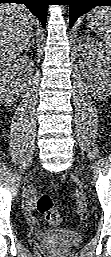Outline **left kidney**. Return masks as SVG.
Listing matches in <instances>:
<instances>
[{"label": "left kidney", "mask_w": 111, "mask_h": 257, "mask_svg": "<svg viewBox=\"0 0 111 257\" xmlns=\"http://www.w3.org/2000/svg\"><path fill=\"white\" fill-rule=\"evenodd\" d=\"M80 68L98 97L111 95V50L99 40L82 37L78 42Z\"/></svg>", "instance_id": "5707ae66"}]
</instances>
